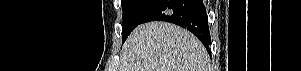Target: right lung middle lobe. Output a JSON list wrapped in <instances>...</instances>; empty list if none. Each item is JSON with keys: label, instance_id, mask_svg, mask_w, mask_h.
I'll list each match as a JSON object with an SVG mask.
<instances>
[{"label": "right lung middle lobe", "instance_id": "obj_1", "mask_svg": "<svg viewBox=\"0 0 301 71\" xmlns=\"http://www.w3.org/2000/svg\"><path fill=\"white\" fill-rule=\"evenodd\" d=\"M156 0H121L123 9L122 38L126 40L132 30L140 24L145 12Z\"/></svg>", "mask_w": 301, "mask_h": 71}]
</instances>
